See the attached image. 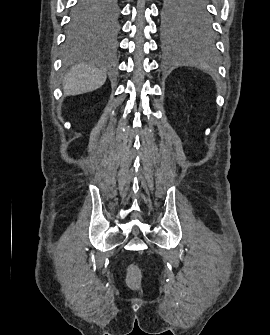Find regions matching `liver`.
<instances>
[{
	"label": "liver",
	"instance_id": "1",
	"mask_svg": "<svg viewBox=\"0 0 270 335\" xmlns=\"http://www.w3.org/2000/svg\"><path fill=\"white\" fill-rule=\"evenodd\" d=\"M106 74L94 66H75L71 68L63 80L64 94L66 96H77L86 94L101 88L106 82Z\"/></svg>",
	"mask_w": 270,
	"mask_h": 335
}]
</instances>
